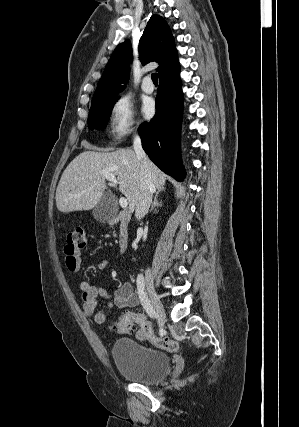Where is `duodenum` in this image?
I'll list each match as a JSON object with an SVG mask.
<instances>
[{
  "instance_id": "410a0bca",
  "label": "duodenum",
  "mask_w": 299,
  "mask_h": 427,
  "mask_svg": "<svg viewBox=\"0 0 299 427\" xmlns=\"http://www.w3.org/2000/svg\"><path fill=\"white\" fill-rule=\"evenodd\" d=\"M130 221V213L128 211H120L112 223L119 225L118 231V248L120 253H124L128 247L129 237H128V224Z\"/></svg>"
}]
</instances>
